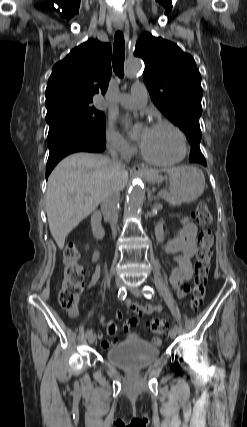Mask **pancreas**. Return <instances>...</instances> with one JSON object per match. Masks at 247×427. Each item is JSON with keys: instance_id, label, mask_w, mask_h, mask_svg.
Here are the masks:
<instances>
[{"instance_id": "pancreas-1", "label": "pancreas", "mask_w": 247, "mask_h": 427, "mask_svg": "<svg viewBox=\"0 0 247 427\" xmlns=\"http://www.w3.org/2000/svg\"><path fill=\"white\" fill-rule=\"evenodd\" d=\"M159 197L163 198L167 203H169L172 206L181 205V202L178 199H176L174 196H172L166 191H161L159 193Z\"/></svg>"}]
</instances>
